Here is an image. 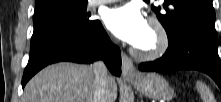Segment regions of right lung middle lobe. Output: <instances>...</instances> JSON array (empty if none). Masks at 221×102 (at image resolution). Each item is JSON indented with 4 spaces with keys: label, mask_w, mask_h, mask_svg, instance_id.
Listing matches in <instances>:
<instances>
[{
    "label": "right lung middle lobe",
    "mask_w": 221,
    "mask_h": 102,
    "mask_svg": "<svg viewBox=\"0 0 221 102\" xmlns=\"http://www.w3.org/2000/svg\"><path fill=\"white\" fill-rule=\"evenodd\" d=\"M86 9L87 0H46L35 6L31 48L57 32L93 25L97 20Z\"/></svg>",
    "instance_id": "1"
}]
</instances>
